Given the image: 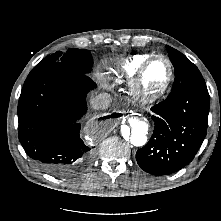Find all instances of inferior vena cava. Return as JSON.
Here are the masks:
<instances>
[{"mask_svg": "<svg viewBox=\"0 0 221 221\" xmlns=\"http://www.w3.org/2000/svg\"><path fill=\"white\" fill-rule=\"evenodd\" d=\"M111 102L112 97L110 94L100 93L91 100L90 104L92 108L102 110L108 108L111 105Z\"/></svg>", "mask_w": 221, "mask_h": 221, "instance_id": "obj_1", "label": "inferior vena cava"}]
</instances>
